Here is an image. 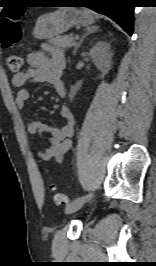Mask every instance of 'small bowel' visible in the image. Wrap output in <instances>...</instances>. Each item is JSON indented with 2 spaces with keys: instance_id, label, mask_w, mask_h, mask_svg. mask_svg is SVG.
I'll return each mask as SVG.
<instances>
[{
  "instance_id": "c3829d8e",
  "label": "small bowel",
  "mask_w": 156,
  "mask_h": 266,
  "mask_svg": "<svg viewBox=\"0 0 156 266\" xmlns=\"http://www.w3.org/2000/svg\"><path fill=\"white\" fill-rule=\"evenodd\" d=\"M44 51H35L27 55L29 67L12 77V85L17 89L15 98L16 105L19 109H24L30 98L26 85L28 83L47 82L54 88L56 94L60 97L65 96V87L62 80L63 70L65 68L64 54L57 48L50 45L43 46ZM60 115L64 119L61 127H55L45 124L39 120H28L26 122L27 130L32 135H44L49 146L37 153L42 161L54 160L62 162L65 155L72 147L71 137L74 132L75 118L67 105L60 108Z\"/></svg>"
}]
</instances>
